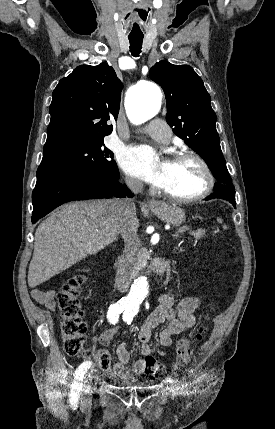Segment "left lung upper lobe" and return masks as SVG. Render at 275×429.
Masks as SVG:
<instances>
[{"mask_svg":"<svg viewBox=\"0 0 275 429\" xmlns=\"http://www.w3.org/2000/svg\"><path fill=\"white\" fill-rule=\"evenodd\" d=\"M150 77L164 90L167 122L173 132L204 159L217 182L214 191L235 196L216 130V114L202 79L191 66L156 63Z\"/></svg>","mask_w":275,"mask_h":429,"instance_id":"1","label":"left lung upper lobe"}]
</instances>
